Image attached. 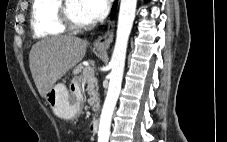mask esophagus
<instances>
[{
	"instance_id": "34e87169",
	"label": "esophagus",
	"mask_w": 227,
	"mask_h": 142,
	"mask_svg": "<svg viewBox=\"0 0 227 142\" xmlns=\"http://www.w3.org/2000/svg\"><path fill=\"white\" fill-rule=\"evenodd\" d=\"M113 39V26L103 36L95 40L94 46L98 49H108Z\"/></svg>"
}]
</instances>
